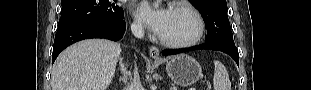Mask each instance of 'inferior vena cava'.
<instances>
[{"instance_id": "obj_1", "label": "inferior vena cava", "mask_w": 311, "mask_h": 90, "mask_svg": "<svg viewBox=\"0 0 311 90\" xmlns=\"http://www.w3.org/2000/svg\"><path fill=\"white\" fill-rule=\"evenodd\" d=\"M131 31H132V34L136 38H143L144 36V28L141 24H132ZM131 67L133 68L134 66L132 65ZM141 89H142V86H141L139 74H138L137 68H135L133 72V80L131 84L129 85V90H141Z\"/></svg>"}]
</instances>
